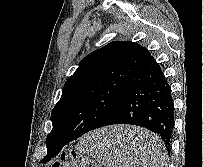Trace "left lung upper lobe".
I'll use <instances>...</instances> for the list:
<instances>
[{
  "label": "left lung upper lobe",
  "mask_w": 203,
  "mask_h": 167,
  "mask_svg": "<svg viewBox=\"0 0 203 167\" xmlns=\"http://www.w3.org/2000/svg\"><path fill=\"white\" fill-rule=\"evenodd\" d=\"M150 57L148 50L135 42L114 41L83 58L52 111L47 148L98 128ZM46 161L47 156L42 162Z\"/></svg>",
  "instance_id": "1"
}]
</instances>
